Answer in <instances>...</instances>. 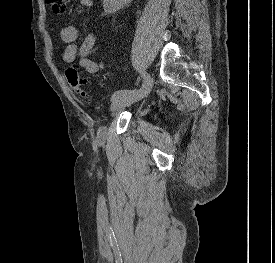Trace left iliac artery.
I'll return each mask as SVG.
<instances>
[{
  "label": "left iliac artery",
  "mask_w": 275,
  "mask_h": 263,
  "mask_svg": "<svg viewBox=\"0 0 275 263\" xmlns=\"http://www.w3.org/2000/svg\"><path fill=\"white\" fill-rule=\"evenodd\" d=\"M142 77H143V83H142V86L140 89H133V90H128V89H124V90H118L116 92H114V94L112 95V100L120 97V96H123V95H126V94H129V93H134V92H137L141 89H143L147 84L148 82L150 81V76L145 73V72H142Z\"/></svg>",
  "instance_id": "44dca946"
}]
</instances>
